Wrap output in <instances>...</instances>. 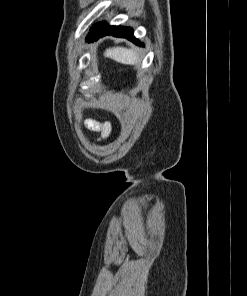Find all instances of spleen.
<instances>
[{
  "label": "spleen",
  "mask_w": 247,
  "mask_h": 296,
  "mask_svg": "<svg viewBox=\"0 0 247 296\" xmlns=\"http://www.w3.org/2000/svg\"><path fill=\"white\" fill-rule=\"evenodd\" d=\"M104 56L126 65H134L139 61L135 50L123 47L109 48L105 51Z\"/></svg>",
  "instance_id": "3e777b00"
}]
</instances>
